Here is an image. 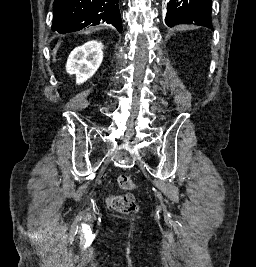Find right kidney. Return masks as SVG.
Returning <instances> with one entry per match:
<instances>
[{"mask_svg": "<svg viewBox=\"0 0 256 267\" xmlns=\"http://www.w3.org/2000/svg\"><path fill=\"white\" fill-rule=\"evenodd\" d=\"M103 46L101 42H86L84 46H78L72 50L66 64V70L70 76H75L76 84H84L88 78H92L103 60Z\"/></svg>", "mask_w": 256, "mask_h": 267, "instance_id": "right-kidney-1", "label": "right kidney"}]
</instances>
